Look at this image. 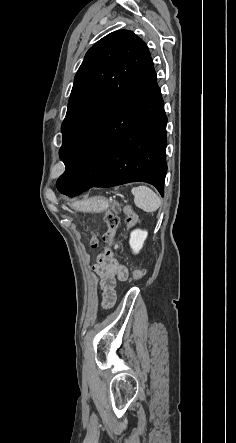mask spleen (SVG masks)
Wrapping results in <instances>:
<instances>
[{"instance_id":"obj_1","label":"spleen","mask_w":236,"mask_h":443,"mask_svg":"<svg viewBox=\"0 0 236 443\" xmlns=\"http://www.w3.org/2000/svg\"><path fill=\"white\" fill-rule=\"evenodd\" d=\"M131 193L134 195L135 205L145 212H154L161 206L160 197L147 186L132 188Z\"/></svg>"}]
</instances>
